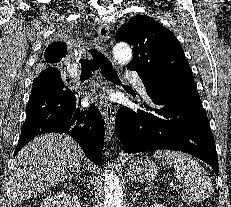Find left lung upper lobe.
<instances>
[{"mask_svg": "<svg viewBox=\"0 0 231 207\" xmlns=\"http://www.w3.org/2000/svg\"><path fill=\"white\" fill-rule=\"evenodd\" d=\"M120 41L133 47L134 56L127 68L137 71L143 80H156V87L150 89L153 93L166 97L196 91L179 41L151 17H133L118 30L116 42Z\"/></svg>", "mask_w": 231, "mask_h": 207, "instance_id": "obj_1", "label": "left lung upper lobe"}]
</instances>
